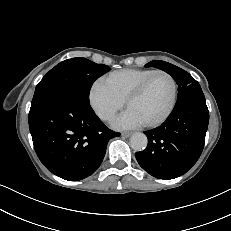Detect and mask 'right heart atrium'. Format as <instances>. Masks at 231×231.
<instances>
[{
  "label": "right heart atrium",
  "mask_w": 231,
  "mask_h": 231,
  "mask_svg": "<svg viewBox=\"0 0 231 231\" xmlns=\"http://www.w3.org/2000/svg\"><path fill=\"white\" fill-rule=\"evenodd\" d=\"M89 103L95 114L105 122L111 121L124 105V101L114 94L102 80L92 84L89 91Z\"/></svg>",
  "instance_id": "right-heart-atrium-1"
}]
</instances>
